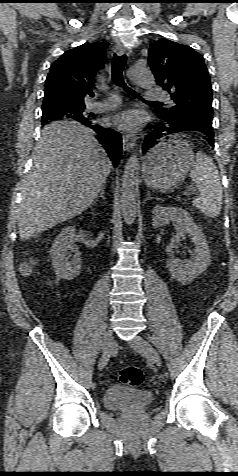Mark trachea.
Listing matches in <instances>:
<instances>
[{
    "mask_svg": "<svg viewBox=\"0 0 238 476\" xmlns=\"http://www.w3.org/2000/svg\"><path fill=\"white\" fill-rule=\"evenodd\" d=\"M126 62H127L126 55L118 56L114 54L113 61H112V80L114 84L121 86L129 95L138 99H142L141 96H139L134 90H132L126 85L123 79V70H124Z\"/></svg>",
    "mask_w": 238,
    "mask_h": 476,
    "instance_id": "3493384b",
    "label": "trachea"
}]
</instances>
